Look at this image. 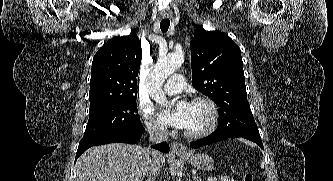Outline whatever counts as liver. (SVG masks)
<instances>
[{
    "label": "liver",
    "mask_w": 333,
    "mask_h": 181,
    "mask_svg": "<svg viewBox=\"0 0 333 181\" xmlns=\"http://www.w3.org/2000/svg\"><path fill=\"white\" fill-rule=\"evenodd\" d=\"M151 151L147 148L113 143L89 148L77 161V181H143ZM159 166L165 158H158Z\"/></svg>",
    "instance_id": "6515ba94"
}]
</instances>
